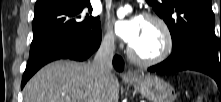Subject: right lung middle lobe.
Here are the masks:
<instances>
[{"mask_svg": "<svg viewBox=\"0 0 221 102\" xmlns=\"http://www.w3.org/2000/svg\"><path fill=\"white\" fill-rule=\"evenodd\" d=\"M91 12L90 0H46L36 4L30 55L59 37L94 35L100 22Z\"/></svg>", "mask_w": 221, "mask_h": 102, "instance_id": "1", "label": "right lung middle lobe"}]
</instances>
